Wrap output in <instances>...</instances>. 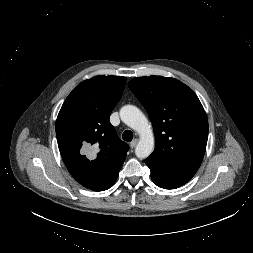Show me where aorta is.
<instances>
[{
  "mask_svg": "<svg viewBox=\"0 0 253 253\" xmlns=\"http://www.w3.org/2000/svg\"><path fill=\"white\" fill-rule=\"evenodd\" d=\"M120 118L140 136L135 147V155L140 159L149 157L154 150L155 140L146 116L136 106L125 105L120 109Z\"/></svg>",
  "mask_w": 253,
  "mask_h": 253,
  "instance_id": "aorta-1",
  "label": "aorta"
}]
</instances>
